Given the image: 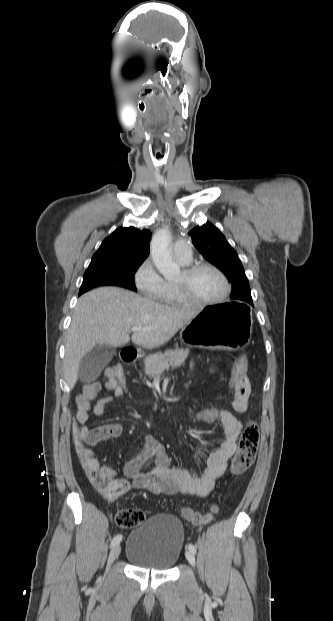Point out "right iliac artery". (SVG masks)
Masks as SVG:
<instances>
[{
    "label": "right iliac artery",
    "mask_w": 333,
    "mask_h": 621,
    "mask_svg": "<svg viewBox=\"0 0 333 621\" xmlns=\"http://www.w3.org/2000/svg\"><path fill=\"white\" fill-rule=\"evenodd\" d=\"M122 540V535L121 534H117L111 541L110 547H114L117 544H119Z\"/></svg>",
    "instance_id": "82829eb1"
}]
</instances>
